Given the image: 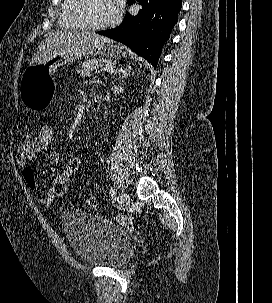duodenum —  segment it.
Returning <instances> with one entry per match:
<instances>
[{
	"instance_id": "obj_1",
	"label": "duodenum",
	"mask_w": 272,
	"mask_h": 303,
	"mask_svg": "<svg viewBox=\"0 0 272 303\" xmlns=\"http://www.w3.org/2000/svg\"><path fill=\"white\" fill-rule=\"evenodd\" d=\"M102 102H103V98L101 95H95L91 101V109L92 110H99L101 105H102Z\"/></svg>"
}]
</instances>
